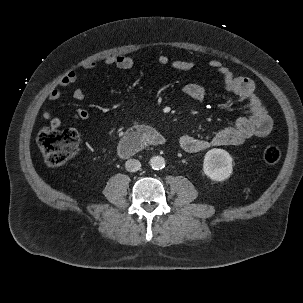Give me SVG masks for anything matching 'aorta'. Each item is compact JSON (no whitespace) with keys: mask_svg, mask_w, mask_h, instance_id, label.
<instances>
[{"mask_svg":"<svg viewBox=\"0 0 303 303\" xmlns=\"http://www.w3.org/2000/svg\"><path fill=\"white\" fill-rule=\"evenodd\" d=\"M150 166L154 170H161L165 167V159L161 156H154L150 159Z\"/></svg>","mask_w":303,"mask_h":303,"instance_id":"aorta-1","label":"aorta"}]
</instances>
